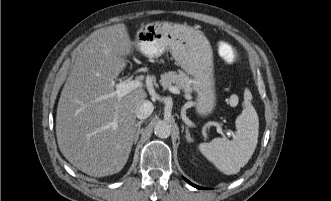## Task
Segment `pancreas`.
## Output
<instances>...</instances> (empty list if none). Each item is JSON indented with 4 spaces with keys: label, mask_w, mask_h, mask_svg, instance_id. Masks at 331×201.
<instances>
[{
    "label": "pancreas",
    "mask_w": 331,
    "mask_h": 201,
    "mask_svg": "<svg viewBox=\"0 0 331 201\" xmlns=\"http://www.w3.org/2000/svg\"><path fill=\"white\" fill-rule=\"evenodd\" d=\"M160 84L164 89H168L174 85L185 92L186 95H190L194 90L193 80L182 71L179 73L175 71L163 73L161 75Z\"/></svg>",
    "instance_id": "obj_1"
}]
</instances>
